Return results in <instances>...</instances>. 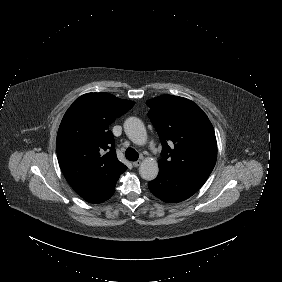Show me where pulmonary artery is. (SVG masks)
I'll use <instances>...</instances> for the list:
<instances>
[{
    "mask_svg": "<svg viewBox=\"0 0 282 282\" xmlns=\"http://www.w3.org/2000/svg\"><path fill=\"white\" fill-rule=\"evenodd\" d=\"M148 149H149L150 155H152L153 160H155V161L162 160L163 153H162V151H160V147H159L158 142H156V141L149 142Z\"/></svg>",
    "mask_w": 282,
    "mask_h": 282,
    "instance_id": "pulmonary-artery-1",
    "label": "pulmonary artery"
}]
</instances>
